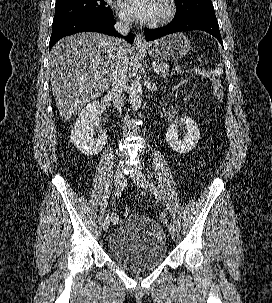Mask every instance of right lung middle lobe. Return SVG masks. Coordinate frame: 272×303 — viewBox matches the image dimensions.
<instances>
[{"label": "right lung middle lobe", "instance_id": "right-lung-middle-lobe-1", "mask_svg": "<svg viewBox=\"0 0 272 303\" xmlns=\"http://www.w3.org/2000/svg\"><path fill=\"white\" fill-rule=\"evenodd\" d=\"M104 0H60L55 4L53 23L81 15L111 16L113 12L106 7Z\"/></svg>", "mask_w": 272, "mask_h": 303}]
</instances>
